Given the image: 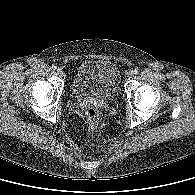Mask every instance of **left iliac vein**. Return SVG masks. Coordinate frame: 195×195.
<instances>
[{
    "instance_id": "left-iliac-vein-1",
    "label": "left iliac vein",
    "mask_w": 195,
    "mask_h": 195,
    "mask_svg": "<svg viewBox=\"0 0 195 195\" xmlns=\"http://www.w3.org/2000/svg\"><path fill=\"white\" fill-rule=\"evenodd\" d=\"M133 77V72L128 73V78L131 79Z\"/></svg>"
}]
</instances>
